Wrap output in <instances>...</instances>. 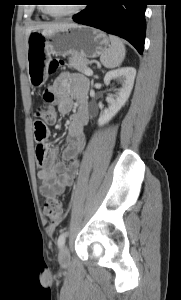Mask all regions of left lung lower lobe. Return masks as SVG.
<instances>
[{"mask_svg": "<svg viewBox=\"0 0 181 300\" xmlns=\"http://www.w3.org/2000/svg\"><path fill=\"white\" fill-rule=\"evenodd\" d=\"M87 7L73 20L130 42L142 54L145 41L146 0H86Z\"/></svg>", "mask_w": 181, "mask_h": 300, "instance_id": "1", "label": "left lung lower lobe"}]
</instances>
